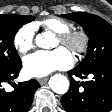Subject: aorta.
I'll return each mask as SVG.
<instances>
[{
    "label": "aorta",
    "mask_w": 112,
    "mask_h": 112,
    "mask_svg": "<svg viewBox=\"0 0 112 112\" xmlns=\"http://www.w3.org/2000/svg\"><path fill=\"white\" fill-rule=\"evenodd\" d=\"M53 34L44 32L38 34L35 39V43L38 47L43 49H49L52 47ZM69 80L66 76L61 74H55L49 80L50 88L57 94H65L69 89Z\"/></svg>",
    "instance_id": "aorta-1"
}]
</instances>
